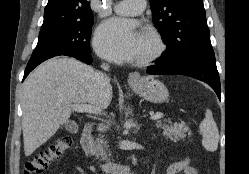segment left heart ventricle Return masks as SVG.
I'll return each mask as SVG.
<instances>
[{
	"label": "left heart ventricle",
	"instance_id": "obj_1",
	"mask_svg": "<svg viewBox=\"0 0 249 174\" xmlns=\"http://www.w3.org/2000/svg\"><path fill=\"white\" fill-rule=\"evenodd\" d=\"M153 49V42L151 37L144 31L139 33L137 44V55L135 59H138L150 52Z\"/></svg>",
	"mask_w": 249,
	"mask_h": 174
}]
</instances>
